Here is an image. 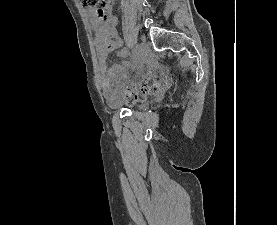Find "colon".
<instances>
[{"instance_id":"5ec220e1","label":"colon","mask_w":277,"mask_h":225,"mask_svg":"<svg viewBox=\"0 0 277 225\" xmlns=\"http://www.w3.org/2000/svg\"><path fill=\"white\" fill-rule=\"evenodd\" d=\"M80 3L88 8L94 10L99 17H103L107 14V1L106 0H80ZM115 43L109 41L107 43L108 50L115 48ZM160 86L159 79L154 77L146 78L141 84L134 85L125 90V100L129 104H133L137 101L145 99L148 95H152L158 91Z\"/></svg>"}]
</instances>
